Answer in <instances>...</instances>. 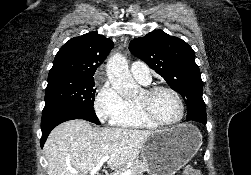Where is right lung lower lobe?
I'll use <instances>...</instances> for the list:
<instances>
[{"mask_svg": "<svg viewBox=\"0 0 251 175\" xmlns=\"http://www.w3.org/2000/svg\"><path fill=\"white\" fill-rule=\"evenodd\" d=\"M72 119H84L93 122L97 125H100V122L94 111L62 105L45 106L43 109L41 120V147H43L47 136L54 127H56L62 122Z\"/></svg>", "mask_w": 251, "mask_h": 175, "instance_id": "98d812e1", "label": "right lung lower lobe"}]
</instances>
